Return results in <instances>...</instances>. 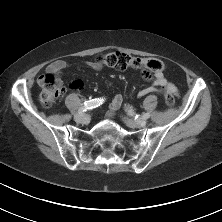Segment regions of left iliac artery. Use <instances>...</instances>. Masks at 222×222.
Returning <instances> with one entry per match:
<instances>
[{
	"mask_svg": "<svg viewBox=\"0 0 222 222\" xmlns=\"http://www.w3.org/2000/svg\"><path fill=\"white\" fill-rule=\"evenodd\" d=\"M128 113L130 114V115H134V112H133V110L132 109H129L128 110ZM150 117V114L149 113H145L143 116H142V119H148ZM138 118V115H136L135 116V119H137Z\"/></svg>",
	"mask_w": 222,
	"mask_h": 222,
	"instance_id": "obj_1",
	"label": "left iliac artery"
}]
</instances>
